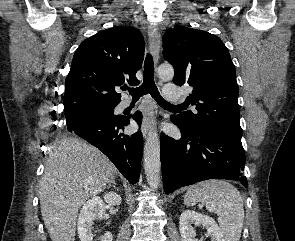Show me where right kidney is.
<instances>
[{
	"label": "right kidney",
	"mask_w": 295,
	"mask_h": 241,
	"mask_svg": "<svg viewBox=\"0 0 295 241\" xmlns=\"http://www.w3.org/2000/svg\"><path fill=\"white\" fill-rule=\"evenodd\" d=\"M109 206H119L121 204V196L116 192L105 193L103 199L100 197H92L83 204L80 211L77 230L81 241H93L92 224L97 217L105 214L106 204ZM100 241H112L111 232H106L99 238Z\"/></svg>",
	"instance_id": "obj_1"
}]
</instances>
